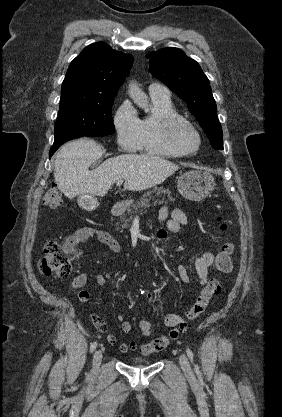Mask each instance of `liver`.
<instances>
[{
    "label": "liver",
    "mask_w": 282,
    "mask_h": 417,
    "mask_svg": "<svg viewBox=\"0 0 282 417\" xmlns=\"http://www.w3.org/2000/svg\"><path fill=\"white\" fill-rule=\"evenodd\" d=\"M102 154L101 146L90 138L66 142L57 152L54 164L59 190L68 198L84 192L105 196L116 180H125L124 188L128 190H146L161 184L179 168L178 164L163 156L118 154L89 170L90 164Z\"/></svg>",
    "instance_id": "obj_1"
}]
</instances>
